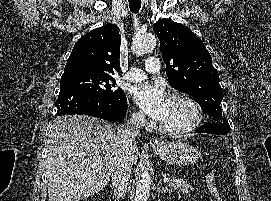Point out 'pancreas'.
<instances>
[{"mask_svg":"<svg viewBox=\"0 0 271 201\" xmlns=\"http://www.w3.org/2000/svg\"><path fill=\"white\" fill-rule=\"evenodd\" d=\"M169 187L171 189H175V190L179 189L183 193H189L190 190H193V188H192V186L190 184H188L184 180L177 179L175 177H173L170 180Z\"/></svg>","mask_w":271,"mask_h":201,"instance_id":"cf45deb5","label":"pancreas"}]
</instances>
